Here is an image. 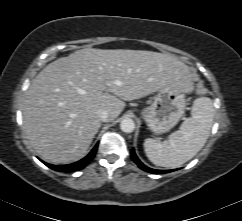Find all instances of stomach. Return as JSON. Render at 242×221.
I'll use <instances>...</instances> for the list:
<instances>
[{
    "instance_id": "1",
    "label": "stomach",
    "mask_w": 242,
    "mask_h": 221,
    "mask_svg": "<svg viewBox=\"0 0 242 221\" xmlns=\"http://www.w3.org/2000/svg\"><path fill=\"white\" fill-rule=\"evenodd\" d=\"M186 107L185 91L172 86L158 90L150 106L141 112L148 128L161 134L173 128L181 119Z\"/></svg>"
}]
</instances>
